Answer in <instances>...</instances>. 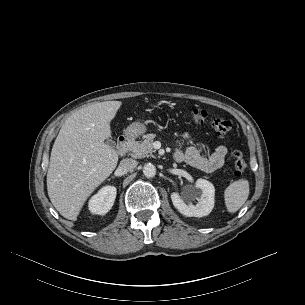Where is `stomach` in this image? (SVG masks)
I'll use <instances>...</instances> for the list:
<instances>
[{
    "mask_svg": "<svg viewBox=\"0 0 305 305\" xmlns=\"http://www.w3.org/2000/svg\"><path fill=\"white\" fill-rule=\"evenodd\" d=\"M147 131V126L143 122H133L125 130L124 134L127 138H136Z\"/></svg>",
    "mask_w": 305,
    "mask_h": 305,
    "instance_id": "stomach-1",
    "label": "stomach"
}]
</instances>
